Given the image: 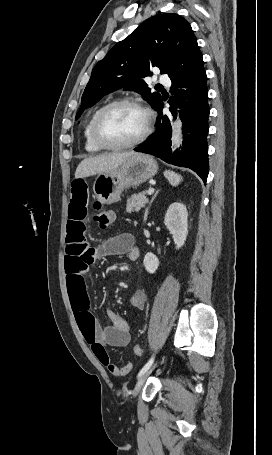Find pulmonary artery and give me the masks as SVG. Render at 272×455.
Segmentation results:
<instances>
[{
  "mask_svg": "<svg viewBox=\"0 0 272 455\" xmlns=\"http://www.w3.org/2000/svg\"><path fill=\"white\" fill-rule=\"evenodd\" d=\"M158 82H160L161 84H164V85H170L171 80L167 75L163 74V75H159Z\"/></svg>",
  "mask_w": 272,
  "mask_h": 455,
  "instance_id": "e3ab8cb5",
  "label": "pulmonary artery"
}]
</instances>
